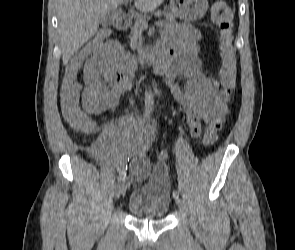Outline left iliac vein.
<instances>
[{
    "mask_svg": "<svg viewBox=\"0 0 295 250\" xmlns=\"http://www.w3.org/2000/svg\"><path fill=\"white\" fill-rule=\"evenodd\" d=\"M176 204L178 205V207H181V200L179 197H174Z\"/></svg>",
    "mask_w": 295,
    "mask_h": 250,
    "instance_id": "1",
    "label": "left iliac vein"
}]
</instances>
